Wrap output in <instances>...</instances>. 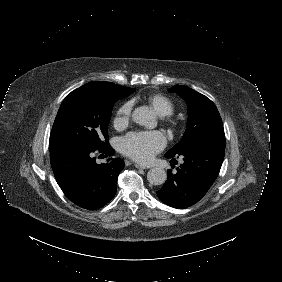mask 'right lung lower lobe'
Segmentation results:
<instances>
[{
	"label": "right lung lower lobe",
	"instance_id": "98d812e1",
	"mask_svg": "<svg viewBox=\"0 0 282 282\" xmlns=\"http://www.w3.org/2000/svg\"><path fill=\"white\" fill-rule=\"evenodd\" d=\"M98 153L112 156L115 151L108 144L100 148L70 145L50 152L60 188L73 203L88 210L103 207L115 196L117 178L125 166L119 158L97 164L94 155Z\"/></svg>",
	"mask_w": 282,
	"mask_h": 282
}]
</instances>
